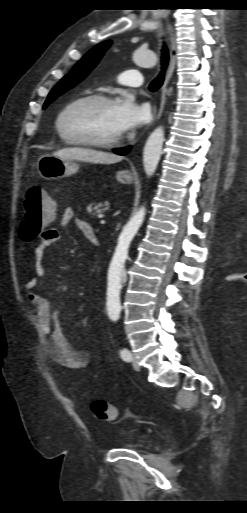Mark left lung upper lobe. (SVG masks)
<instances>
[{
	"label": "left lung upper lobe",
	"instance_id": "1",
	"mask_svg": "<svg viewBox=\"0 0 247 513\" xmlns=\"http://www.w3.org/2000/svg\"><path fill=\"white\" fill-rule=\"evenodd\" d=\"M111 44L112 42L110 40L104 41L87 52L83 58L72 68V70L51 90L47 100L44 103L43 109L46 108L61 94L65 93L80 81H82L98 64Z\"/></svg>",
	"mask_w": 247,
	"mask_h": 513
}]
</instances>
